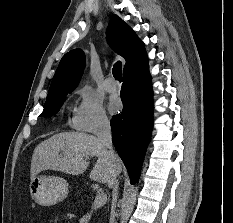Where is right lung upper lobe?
Segmentation results:
<instances>
[{
  "label": "right lung upper lobe",
  "mask_w": 233,
  "mask_h": 223,
  "mask_svg": "<svg viewBox=\"0 0 233 223\" xmlns=\"http://www.w3.org/2000/svg\"><path fill=\"white\" fill-rule=\"evenodd\" d=\"M106 36L109 45L126 61L124 75L148 65L143 42L118 16L111 17ZM85 64V55L81 49L71 50L63 56L52 79L45 105L62 100L76 88Z\"/></svg>",
  "instance_id": "cb5924a9"
}]
</instances>
